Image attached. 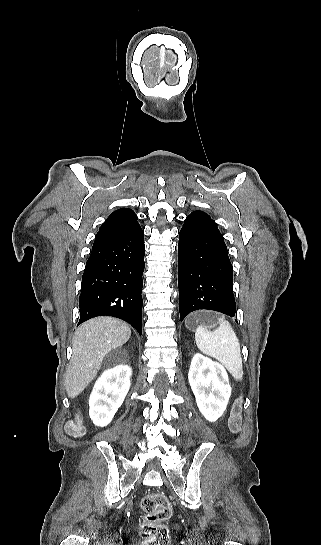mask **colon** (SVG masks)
<instances>
[{"label": "colon", "instance_id": "obj_1", "mask_svg": "<svg viewBox=\"0 0 321 545\" xmlns=\"http://www.w3.org/2000/svg\"><path fill=\"white\" fill-rule=\"evenodd\" d=\"M242 405V399H237L232 406L230 417L232 432L240 430ZM67 431L73 437H79L83 434L84 427L80 420H74L68 424ZM141 507L145 513L144 522L140 529L144 544L169 545L168 529L164 525V521L169 519L172 514L168 499L159 493L148 494L142 499Z\"/></svg>", "mask_w": 321, "mask_h": 545}]
</instances>
